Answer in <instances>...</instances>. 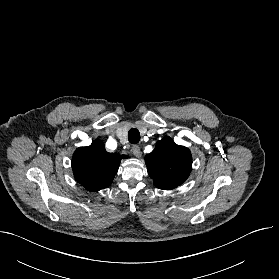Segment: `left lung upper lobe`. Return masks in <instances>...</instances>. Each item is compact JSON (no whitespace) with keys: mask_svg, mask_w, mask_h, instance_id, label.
<instances>
[{"mask_svg":"<svg viewBox=\"0 0 279 279\" xmlns=\"http://www.w3.org/2000/svg\"><path fill=\"white\" fill-rule=\"evenodd\" d=\"M145 163L154 184L164 190L181 185L192 169L190 150L175 144L170 137L157 142L155 149L146 155Z\"/></svg>","mask_w":279,"mask_h":279,"instance_id":"obj_1","label":"left lung upper lobe"}]
</instances>
